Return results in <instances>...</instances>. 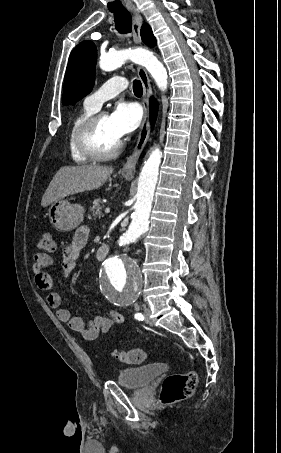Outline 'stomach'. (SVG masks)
Here are the masks:
<instances>
[{"label":"stomach","mask_w":281,"mask_h":453,"mask_svg":"<svg viewBox=\"0 0 281 453\" xmlns=\"http://www.w3.org/2000/svg\"><path fill=\"white\" fill-rule=\"evenodd\" d=\"M127 180H130L132 176L124 174ZM85 208L81 204H71L68 200H54L48 208V216L52 227L60 233H68L73 231L76 227H79L82 220H84Z\"/></svg>","instance_id":"0dacf381"}]
</instances>
